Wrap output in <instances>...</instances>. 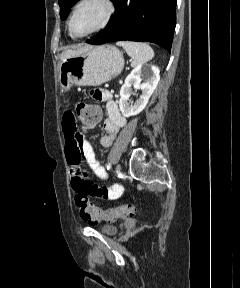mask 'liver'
I'll list each match as a JSON object with an SVG mask.
<instances>
[{"instance_id": "obj_1", "label": "liver", "mask_w": 240, "mask_h": 288, "mask_svg": "<svg viewBox=\"0 0 240 288\" xmlns=\"http://www.w3.org/2000/svg\"><path fill=\"white\" fill-rule=\"evenodd\" d=\"M87 47L88 46H79L76 49H69V50L63 51L62 54L60 55V58H61V60H64V59L69 58L71 56H75Z\"/></svg>"}]
</instances>
